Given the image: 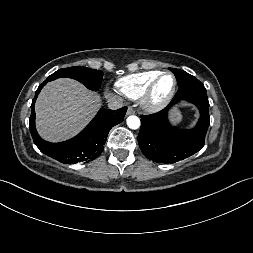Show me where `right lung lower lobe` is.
I'll list each match as a JSON object with an SVG mask.
<instances>
[{
    "mask_svg": "<svg viewBox=\"0 0 253 253\" xmlns=\"http://www.w3.org/2000/svg\"><path fill=\"white\" fill-rule=\"evenodd\" d=\"M47 82H49L48 79L38 87L31 105L29 128L35 145L44 154L65 164L85 163L94 160L103 151L110 129L123 121L127 107L117 110L102 109L88 126L74 138L61 143H49L40 138L36 131L34 111L36 98Z\"/></svg>",
    "mask_w": 253,
    "mask_h": 253,
    "instance_id": "1",
    "label": "right lung lower lobe"
}]
</instances>
